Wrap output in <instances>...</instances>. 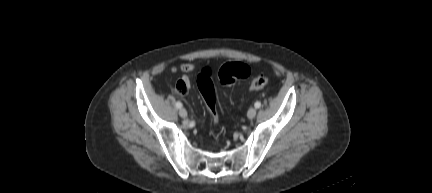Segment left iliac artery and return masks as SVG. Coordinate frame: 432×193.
<instances>
[{
	"mask_svg": "<svg viewBox=\"0 0 432 193\" xmlns=\"http://www.w3.org/2000/svg\"><path fill=\"white\" fill-rule=\"evenodd\" d=\"M254 106H255V108H260V107H261V102L257 101V102L254 104Z\"/></svg>",
	"mask_w": 432,
	"mask_h": 193,
	"instance_id": "left-iliac-artery-1",
	"label": "left iliac artery"
}]
</instances>
